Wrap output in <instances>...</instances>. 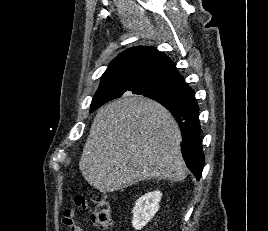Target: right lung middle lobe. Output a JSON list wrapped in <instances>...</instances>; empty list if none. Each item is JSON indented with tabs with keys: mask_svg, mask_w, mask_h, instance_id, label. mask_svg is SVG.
<instances>
[{
	"mask_svg": "<svg viewBox=\"0 0 268 231\" xmlns=\"http://www.w3.org/2000/svg\"><path fill=\"white\" fill-rule=\"evenodd\" d=\"M127 89L124 88H106L99 98V101L108 99L111 96L121 95ZM129 91L134 94H141L146 97L152 98L160 103V101H168L172 104L179 105H189L195 100V94L177 89L168 84L155 82V81H145L132 86ZM103 104L91 103V110L93 112L98 107Z\"/></svg>",
	"mask_w": 268,
	"mask_h": 231,
	"instance_id": "right-lung-middle-lobe-1",
	"label": "right lung middle lobe"
}]
</instances>
